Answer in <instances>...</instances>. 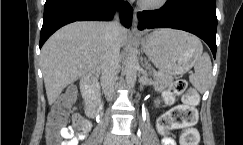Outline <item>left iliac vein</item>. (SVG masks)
Here are the masks:
<instances>
[{
    "label": "left iliac vein",
    "mask_w": 243,
    "mask_h": 145,
    "mask_svg": "<svg viewBox=\"0 0 243 145\" xmlns=\"http://www.w3.org/2000/svg\"><path fill=\"white\" fill-rule=\"evenodd\" d=\"M117 145H134V142L133 140L125 139L123 142H120Z\"/></svg>",
    "instance_id": "4c4485c4"
}]
</instances>
